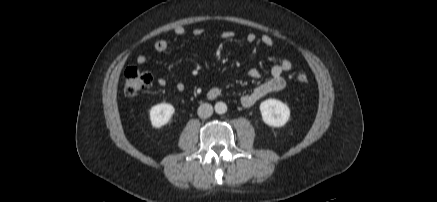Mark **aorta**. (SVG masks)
<instances>
[{"label":"aorta","mask_w":437,"mask_h":202,"mask_svg":"<svg viewBox=\"0 0 437 202\" xmlns=\"http://www.w3.org/2000/svg\"><path fill=\"white\" fill-rule=\"evenodd\" d=\"M214 109L217 114H224L227 111V105L224 102H217Z\"/></svg>","instance_id":"aorta-1"}]
</instances>
